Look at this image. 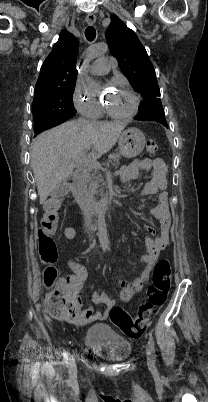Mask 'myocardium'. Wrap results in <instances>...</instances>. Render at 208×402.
I'll use <instances>...</instances> for the list:
<instances>
[{"mask_svg": "<svg viewBox=\"0 0 208 402\" xmlns=\"http://www.w3.org/2000/svg\"><path fill=\"white\" fill-rule=\"evenodd\" d=\"M122 90L129 93L134 99V106L131 111H129L127 113H120V112L115 111L104 98L101 97L100 101H101V104H102L104 110L108 114H110L114 118L124 120V119L132 118L133 116H135L138 113L140 106H141V99H140V96L134 90H132L128 87L123 86Z\"/></svg>", "mask_w": 208, "mask_h": 402, "instance_id": "myocardium-1", "label": "myocardium"}]
</instances>
